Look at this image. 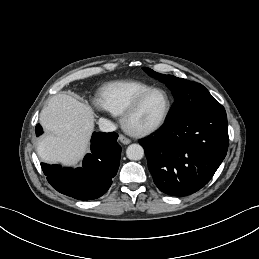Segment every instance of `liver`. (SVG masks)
I'll return each mask as SVG.
<instances>
[{
  "mask_svg": "<svg viewBox=\"0 0 259 259\" xmlns=\"http://www.w3.org/2000/svg\"><path fill=\"white\" fill-rule=\"evenodd\" d=\"M40 123L48 133L37 145L43 161L75 166L89 152L94 130V111L89 105L56 94L41 111Z\"/></svg>",
  "mask_w": 259,
  "mask_h": 259,
  "instance_id": "6515ba94",
  "label": "liver"
}]
</instances>
